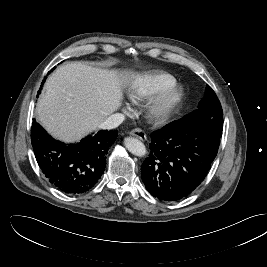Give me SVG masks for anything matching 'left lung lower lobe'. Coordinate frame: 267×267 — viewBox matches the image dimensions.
<instances>
[{"label":"left lung lower lobe","instance_id":"left-lung-lower-lobe-1","mask_svg":"<svg viewBox=\"0 0 267 267\" xmlns=\"http://www.w3.org/2000/svg\"><path fill=\"white\" fill-rule=\"evenodd\" d=\"M221 135L185 117L152 132L150 153L141 166L146 189L164 201L187 197L210 170Z\"/></svg>","mask_w":267,"mask_h":267}]
</instances>
